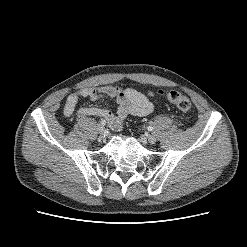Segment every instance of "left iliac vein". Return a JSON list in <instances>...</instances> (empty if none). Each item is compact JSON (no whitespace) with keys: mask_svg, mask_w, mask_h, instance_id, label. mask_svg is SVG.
Segmentation results:
<instances>
[{"mask_svg":"<svg viewBox=\"0 0 247 247\" xmlns=\"http://www.w3.org/2000/svg\"><path fill=\"white\" fill-rule=\"evenodd\" d=\"M146 140L150 143V144H154L156 142V138L153 135H147L146 136Z\"/></svg>","mask_w":247,"mask_h":247,"instance_id":"obj_1","label":"left iliac vein"}]
</instances>
